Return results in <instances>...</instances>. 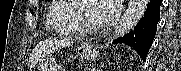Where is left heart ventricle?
<instances>
[{
    "mask_svg": "<svg viewBox=\"0 0 181 71\" xmlns=\"http://www.w3.org/2000/svg\"><path fill=\"white\" fill-rule=\"evenodd\" d=\"M85 7V15L86 18L91 23H99L98 21V14H99V8H100V1H86L82 2Z\"/></svg>",
    "mask_w": 181,
    "mask_h": 71,
    "instance_id": "left-heart-ventricle-1",
    "label": "left heart ventricle"
}]
</instances>
